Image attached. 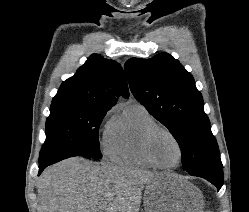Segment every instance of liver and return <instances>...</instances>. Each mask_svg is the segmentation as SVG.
Here are the masks:
<instances>
[{
    "mask_svg": "<svg viewBox=\"0 0 249 212\" xmlns=\"http://www.w3.org/2000/svg\"><path fill=\"white\" fill-rule=\"evenodd\" d=\"M172 174L68 158L37 180L38 212H139L143 188Z\"/></svg>",
    "mask_w": 249,
    "mask_h": 212,
    "instance_id": "1",
    "label": "liver"
}]
</instances>
